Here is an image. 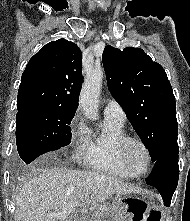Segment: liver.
<instances>
[{"instance_id": "6515ba94", "label": "liver", "mask_w": 190, "mask_h": 221, "mask_svg": "<svg viewBox=\"0 0 190 221\" xmlns=\"http://www.w3.org/2000/svg\"><path fill=\"white\" fill-rule=\"evenodd\" d=\"M139 192L117 177L98 172L34 167L16 192L14 221H71L51 215L74 202L99 208L113 194Z\"/></svg>"}]
</instances>
